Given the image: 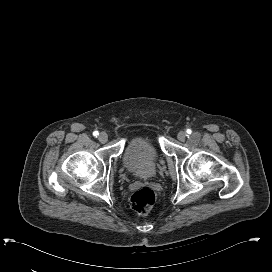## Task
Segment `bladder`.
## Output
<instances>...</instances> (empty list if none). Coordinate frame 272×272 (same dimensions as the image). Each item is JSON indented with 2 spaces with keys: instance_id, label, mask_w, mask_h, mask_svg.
Listing matches in <instances>:
<instances>
[{
  "instance_id": "bladder-1",
  "label": "bladder",
  "mask_w": 272,
  "mask_h": 272,
  "mask_svg": "<svg viewBox=\"0 0 272 272\" xmlns=\"http://www.w3.org/2000/svg\"><path fill=\"white\" fill-rule=\"evenodd\" d=\"M124 163L140 178L151 177L159 164L160 153L152 139L135 137L123 152Z\"/></svg>"
}]
</instances>
